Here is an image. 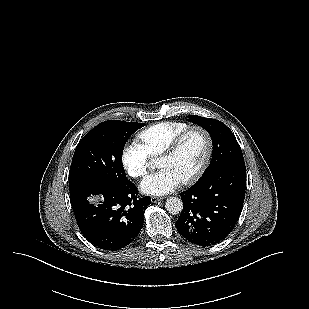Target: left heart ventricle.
<instances>
[{"mask_svg":"<svg viewBox=\"0 0 309 309\" xmlns=\"http://www.w3.org/2000/svg\"><path fill=\"white\" fill-rule=\"evenodd\" d=\"M206 154V141L200 132L191 133L178 152L170 157H161L160 168L173 170L182 180L191 176L202 164Z\"/></svg>","mask_w":309,"mask_h":309,"instance_id":"left-heart-ventricle-1","label":"left heart ventricle"}]
</instances>
